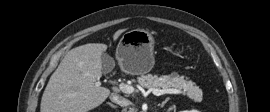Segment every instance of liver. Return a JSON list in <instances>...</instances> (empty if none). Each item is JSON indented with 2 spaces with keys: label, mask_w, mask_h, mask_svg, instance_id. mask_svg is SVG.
<instances>
[{
  "label": "liver",
  "mask_w": 270,
  "mask_h": 112,
  "mask_svg": "<svg viewBox=\"0 0 270 112\" xmlns=\"http://www.w3.org/2000/svg\"><path fill=\"white\" fill-rule=\"evenodd\" d=\"M125 31L120 29L113 40ZM107 45L89 43L71 49L62 59L44 90L40 112H88L101 105L110 90L97 81L102 76V54Z\"/></svg>",
  "instance_id": "liver-1"
}]
</instances>
